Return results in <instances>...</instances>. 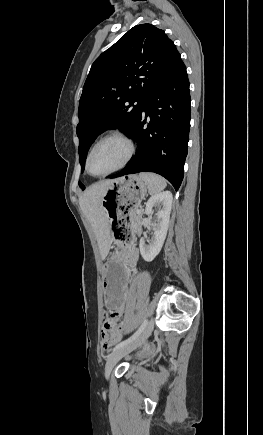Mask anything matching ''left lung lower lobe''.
<instances>
[{
    "label": "left lung lower lobe",
    "mask_w": 263,
    "mask_h": 435,
    "mask_svg": "<svg viewBox=\"0 0 263 435\" xmlns=\"http://www.w3.org/2000/svg\"><path fill=\"white\" fill-rule=\"evenodd\" d=\"M190 103L189 80L181 60L151 92L142 108L138 123L130 135L138 145L135 156L125 170L109 178L154 172L165 177L177 191L184 176L188 152ZM147 116L149 122L145 128Z\"/></svg>",
    "instance_id": "obj_1"
}]
</instances>
